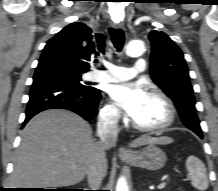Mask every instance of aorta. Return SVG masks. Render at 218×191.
<instances>
[{"mask_svg": "<svg viewBox=\"0 0 218 191\" xmlns=\"http://www.w3.org/2000/svg\"><path fill=\"white\" fill-rule=\"evenodd\" d=\"M145 51L144 42L141 40H132L126 46V54L130 57H139ZM116 191H129L126 179L120 177L117 181Z\"/></svg>", "mask_w": 218, "mask_h": 191, "instance_id": "762f6f07", "label": "aorta"}]
</instances>
